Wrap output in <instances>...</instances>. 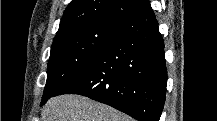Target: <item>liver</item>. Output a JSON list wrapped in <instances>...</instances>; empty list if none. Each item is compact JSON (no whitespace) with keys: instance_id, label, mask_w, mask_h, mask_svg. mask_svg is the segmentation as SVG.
<instances>
[{"instance_id":"6515ba94","label":"liver","mask_w":217,"mask_h":121,"mask_svg":"<svg viewBox=\"0 0 217 121\" xmlns=\"http://www.w3.org/2000/svg\"><path fill=\"white\" fill-rule=\"evenodd\" d=\"M41 116L43 121H133L108 105L80 95L51 98Z\"/></svg>"}]
</instances>
